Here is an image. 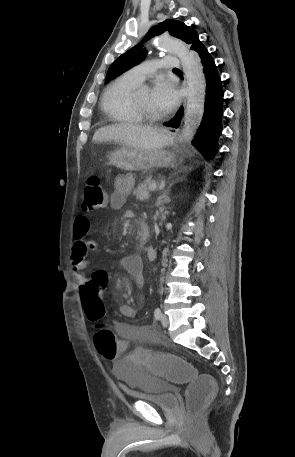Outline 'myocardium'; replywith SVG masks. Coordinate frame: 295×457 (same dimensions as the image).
Wrapping results in <instances>:
<instances>
[{"mask_svg":"<svg viewBox=\"0 0 295 457\" xmlns=\"http://www.w3.org/2000/svg\"><path fill=\"white\" fill-rule=\"evenodd\" d=\"M143 88H144V86H138L132 92V95H131L132 106H133L134 110L136 111V113L143 119L149 120V121L159 120L162 117V115H160L159 113L150 112L149 110L144 108L139 103L137 95H138V92Z\"/></svg>","mask_w":295,"mask_h":457,"instance_id":"f54148a6","label":"myocardium"}]
</instances>
